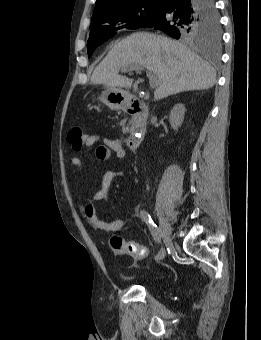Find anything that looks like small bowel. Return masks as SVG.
I'll list each match as a JSON object with an SVG mask.
<instances>
[{"label":"small bowel","instance_id":"small-bowel-1","mask_svg":"<svg viewBox=\"0 0 261 340\" xmlns=\"http://www.w3.org/2000/svg\"><path fill=\"white\" fill-rule=\"evenodd\" d=\"M96 143H100L95 151V155L100 161H110L113 156L120 160L126 155L124 145L120 139L99 134H87L83 146L89 148ZM71 164L79 171L84 169V162L79 157H73ZM117 174L113 170H107L102 177L100 189L91 195L89 202L79 204V211L83 220L96 231L115 233L130 228L131 219H116L110 222L99 219L92 204L106 197L112 180Z\"/></svg>","mask_w":261,"mask_h":340}]
</instances>
